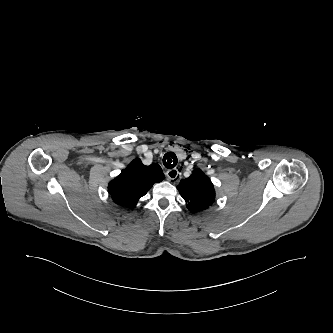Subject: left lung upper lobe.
Listing matches in <instances>:
<instances>
[{
	"label": "left lung upper lobe",
	"instance_id": "obj_1",
	"mask_svg": "<svg viewBox=\"0 0 333 333\" xmlns=\"http://www.w3.org/2000/svg\"><path fill=\"white\" fill-rule=\"evenodd\" d=\"M177 188L187 202V208L193 213L208 208L215 201L213 184L200 169L181 180Z\"/></svg>",
	"mask_w": 333,
	"mask_h": 333
}]
</instances>
